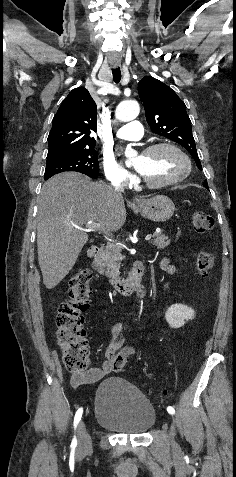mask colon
Wrapping results in <instances>:
<instances>
[{"label": "colon", "mask_w": 236, "mask_h": 477, "mask_svg": "<svg viewBox=\"0 0 236 477\" xmlns=\"http://www.w3.org/2000/svg\"><path fill=\"white\" fill-rule=\"evenodd\" d=\"M192 226L196 233L204 234L213 226V218L201 211L192 214ZM214 266V256L201 252L196 260V270L200 276H207ZM92 292L90 273L79 268L69 282L67 299L59 305L56 317V339L63 351V362L71 372H83L87 369L89 350L85 339V314L89 309ZM127 357L119 354L111 362L112 370L123 369Z\"/></svg>", "instance_id": "obj_1"}]
</instances>
